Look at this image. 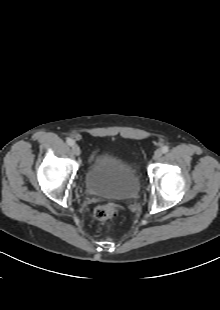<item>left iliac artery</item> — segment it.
Masks as SVG:
<instances>
[{
	"instance_id": "1",
	"label": "left iliac artery",
	"mask_w": 220,
	"mask_h": 310,
	"mask_svg": "<svg viewBox=\"0 0 220 310\" xmlns=\"http://www.w3.org/2000/svg\"><path fill=\"white\" fill-rule=\"evenodd\" d=\"M161 151H162V153H167L169 151V147L168 146H163Z\"/></svg>"
}]
</instances>
